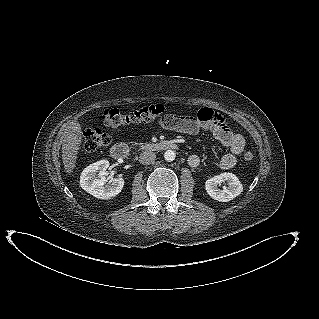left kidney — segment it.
Instances as JSON below:
<instances>
[{"instance_id":"obj_1","label":"left kidney","mask_w":319,"mask_h":319,"mask_svg":"<svg viewBox=\"0 0 319 319\" xmlns=\"http://www.w3.org/2000/svg\"><path fill=\"white\" fill-rule=\"evenodd\" d=\"M222 182H227L228 186H223L222 189H219L218 185ZM205 189L213 199L228 202L241 194L243 186L235 174L225 172L208 179L205 182Z\"/></svg>"}]
</instances>
